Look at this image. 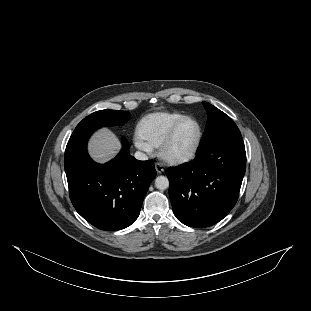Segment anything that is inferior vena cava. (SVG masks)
Wrapping results in <instances>:
<instances>
[{
	"mask_svg": "<svg viewBox=\"0 0 311 311\" xmlns=\"http://www.w3.org/2000/svg\"><path fill=\"white\" fill-rule=\"evenodd\" d=\"M134 158L137 159V160H140V161L148 160V156L145 153L140 152V151H136L134 153Z\"/></svg>",
	"mask_w": 311,
	"mask_h": 311,
	"instance_id": "1",
	"label": "inferior vena cava"
}]
</instances>
